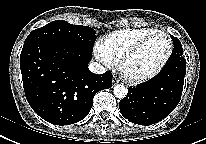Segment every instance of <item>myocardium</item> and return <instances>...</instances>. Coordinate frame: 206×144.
I'll return each mask as SVG.
<instances>
[{
  "instance_id": "1",
  "label": "myocardium",
  "mask_w": 206,
  "mask_h": 144,
  "mask_svg": "<svg viewBox=\"0 0 206 144\" xmlns=\"http://www.w3.org/2000/svg\"><path fill=\"white\" fill-rule=\"evenodd\" d=\"M164 36L167 38L168 43H169V49L167 52L166 57L164 58V60L162 61V63L152 72L146 74V75H142V76H132L130 75L127 71H126V64L127 62L133 57L135 56L140 50L141 48L153 37L155 36ZM173 50H174V44H173V40L172 38L165 32L163 31H155L151 34L146 35L145 37H143L142 39H140L138 42H136L133 46H131L120 58L119 60V70L121 72V74L123 75V77L131 82V83H135V84H139V83H144L147 81H150L154 78H156L167 66V64L169 63L172 54H173Z\"/></svg>"
}]
</instances>
